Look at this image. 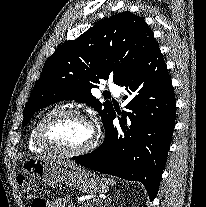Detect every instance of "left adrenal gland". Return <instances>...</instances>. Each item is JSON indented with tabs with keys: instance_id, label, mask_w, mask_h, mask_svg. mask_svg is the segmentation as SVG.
<instances>
[{
	"instance_id": "a2214340",
	"label": "left adrenal gland",
	"mask_w": 206,
	"mask_h": 207,
	"mask_svg": "<svg viewBox=\"0 0 206 207\" xmlns=\"http://www.w3.org/2000/svg\"><path fill=\"white\" fill-rule=\"evenodd\" d=\"M112 200H113V198L109 197L108 200H105V202L100 205V207L108 206L109 204H111Z\"/></svg>"
}]
</instances>
